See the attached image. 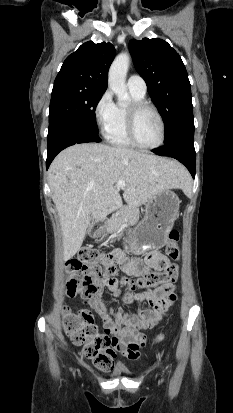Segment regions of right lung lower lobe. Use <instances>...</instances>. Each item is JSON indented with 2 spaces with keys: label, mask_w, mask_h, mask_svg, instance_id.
<instances>
[{
  "label": "right lung lower lobe",
  "mask_w": 233,
  "mask_h": 413,
  "mask_svg": "<svg viewBox=\"0 0 233 413\" xmlns=\"http://www.w3.org/2000/svg\"><path fill=\"white\" fill-rule=\"evenodd\" d=\"M97 134L79 128L70 126H60L48 132V153L46 167L50 166L55 156L68 146L86 143L99 142Z\"/></svg>",
  "instance_id": "98d812e1"
}]
</instances>
